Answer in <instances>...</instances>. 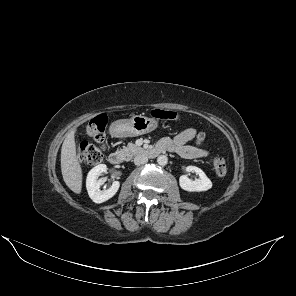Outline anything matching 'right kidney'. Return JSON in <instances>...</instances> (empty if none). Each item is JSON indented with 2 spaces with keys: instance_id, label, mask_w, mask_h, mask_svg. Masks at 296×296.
Masks as SVG:
<instances>
[{
  "instance_id": "obj_1",
  "label": "right kidney",
  "mask_w": 296,
  "mask_h": 296,
  "mask_svg": "<svg viewBox=\"0 0 296 296\" xmlns=\"http://www.w3.org/2000/svg\"><path fill=\"white\" fill-rule=\"evenodd\" d=\"M106 171L107 166L105 164H99L92 168L87 175L86 188L89 197L92 199L93 202L97 204L105 202L112 198L117 193L120 187V182L114 181L109 189L100 190V187L104 184V180L102 178H99V176Z\"/></svg>"
}]
</instances>
